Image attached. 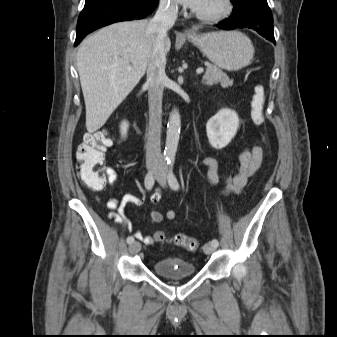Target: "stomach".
Returning a JSON list of instances; mask_svg holds the SVG:
<instances>
[{"mask_svg": "<svg viewBox=\"0 0 337 337\" xmlns=\"http://www.w3.org/2000/svg\"><path fill=\"white\" fill-rule=\"evenodd\" d=\"M216 66L237 71L248 66L254 55L251 40L239 31H220L187 36Z\"/></svg>", "mask_w": 337, "mask_h": 337, "instance_id": "obj_1", "label": "stomach"}]
</instances>
